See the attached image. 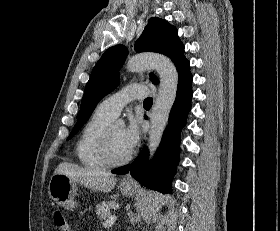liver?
<instances>
[{"label":"liver","instance_id":"6515ba94","mask_svg":"<svg viewBox=\"0 0 280 231\" xmlns=\"http://www.w3.org/2000/svg\"><path fill=\"white\" fill-rule=\"evenodd\" d=\"M54 173H64L72 181H78L84 187H89L93 191H104V193L111 191L117 181L115 175H112V173H95L91 169H84V167H78L75 163H67V161L59 163Z\"/></svg>","mask_w":280,"mask_h":231}]
</instances>
